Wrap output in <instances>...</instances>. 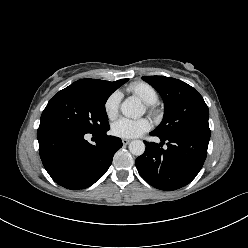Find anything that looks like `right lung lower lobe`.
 Returning <instances> with one entry per match:
<instances>
[{"label": "right lung lower lobe", "instance_id": "98d812e1", "mask_svg": "<svg viewBox=\"0 0 248 248\" xmlns=\"http://www.w3.org/2000/svg\"><path fill=\"white\" fill-rule=\"evenodd\" d=\"M110 129V127H109ZM91 133L95 144L85 140L84 132L60 125L39 126L37 139L42 163L51 178L71 190L85 189L108 170L113 156L122 147L109 130Z\"/></svg>", "mask_w": 248, "mask_h": 248}]
</instances>
